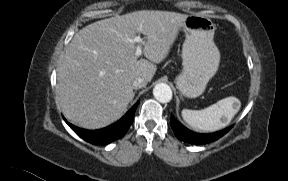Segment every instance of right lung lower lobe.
Returning a JSON list of instances; mask_svg holds the SVG:
<instances>
[{"instance_id":"obj_1","label":"right lung lower lobe","mask_w":288,"mask_h":181,"mask_svg":"<svg viewBox=\"0 0 288 181\" xmlns=\"http://www.w3.org/2000/svg\"><path fill=\"white\" fill-rule=\"evenodd\" d=\"M139 102L136 103L127 113L116 123L98 130H86L66 123L82 139L93 145H107L117 139L122 138L134 121V114Z\"/></svg>"}]
</instances>
